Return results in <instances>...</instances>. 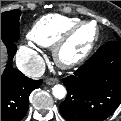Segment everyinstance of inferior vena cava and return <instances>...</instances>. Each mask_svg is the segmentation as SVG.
<instances>
[{
    "label": "inferior vena cava",
    "instance_id": "1",
    "mask_svg": "<svg viewBox=\"0 0 121 121\" xmlns=\"http://www.w3.org/2000/svg\"><path fill=\"white\" fill-rule=\"evenodd\" d=\"M18 69L30 78L41 77L45 72V62L42 57H34L28 64H18Z\"/></svg>",
    "mask_w": 121,
    "mask_h": 121
}]
</instances>
